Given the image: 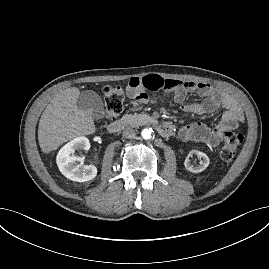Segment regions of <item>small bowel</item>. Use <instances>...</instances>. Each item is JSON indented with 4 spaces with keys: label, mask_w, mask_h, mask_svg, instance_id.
<instances>
[{
    "label": "small bowel",
    "mask_w": 269,
    "mask_h": 269,
    "mask_svg": "<svg viewBox=\"0 0 269 269\" xmlns=\"http://www.w3.org/2000/svg\"><path fill=\"white\" fill-rule=\"evenodd\" d=\"M147 90L173 93L175 101L187 113L204 115L219 108L224 109L221 119L214 127H209L200 122L182 127L179 131V137L183 141H194L208 146H216L227 131L237 128L244 119L240 106L232 97L207 83L165 79L158 75L134 77L129 80L127 93L135 101L140 103L151 102L152 99ZM190 93H197L203 98V101L185 103L186 96Z\"/></svg>",
    "instance_id": "small-bowel-1"
}]
</instances>
